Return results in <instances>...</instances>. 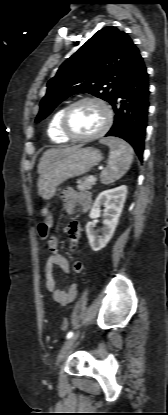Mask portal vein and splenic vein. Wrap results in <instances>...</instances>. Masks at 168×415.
Here are the masks:
<instances>
[{"mask_svg":"<svg viewBox=\"0 0 168 415\" xmlns=\"http://www.w3.org/2000/svg\"><path fill=\"white\" fill-rule=\"evenodd\" d=\"M89 178H90L91 180H93V179H94V176H93V175H90V176H89Z\"/></svg>","mask_w":168,"mask_h":415,"instance_id":"obj_1","label":"portal vein and splenic vein"}]
</instances>
